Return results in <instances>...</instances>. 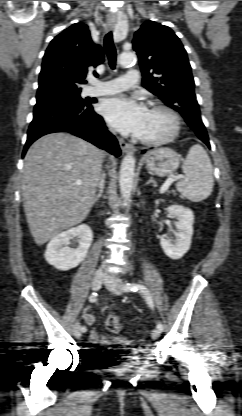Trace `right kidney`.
<instances>
[{
    "instance_id": "right-kidney-1",
    "label": "right kidney",
    "mask_w": 242,
    "mask_h": 416,
    "mask_svg": "<svg viewBox=\"0 0 242 416\" xmlns=\"http://www.w3.org/2000/svg\"><path fill=\"white\" fill-rule=\"evenodd\" d=\"M78 237L79 246L70 248V239ZM93 240L91 228L82 224L75 228L59 233L47 245L46 261L58 270L67 271L77 267L86 257Z\"/></svg>"
}]
</instances>
